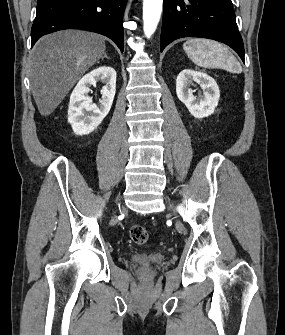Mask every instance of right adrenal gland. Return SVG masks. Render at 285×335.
I'll use <instances>...</instances> for the list:
<instances>
[{
	"label": "right adrenal gland",
	"instance_id": "1",
	"mask_svg": "<svg viewBox=\"0 0 285 335\" xmlns=\"http://www.w3.org/2000/svg\"><path fill=\"white\" fill-rule=\"evenodd\" d=\"M104 58H107V60H110V58H108V56H106V54H104V56H102L101 60H104Z\"/></svg>",
	"mask_w": 285,
	"mask_h": 335
}]
</instances>
